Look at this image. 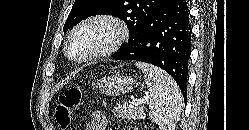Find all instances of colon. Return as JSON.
I'll use <instances>...</instances> for the list:
<instances>
[{
    "label": "colon",
    "mask_w": 249,
    "mask_h": 130,
    "mask_svg": "<svg viewBox=\"0 0 249 130\" xmlns=\"http://www.w3.org/2000/svg\"><path fill=\"white\" fill-rule=\"evenodd\" d=\"M82 98L79 86H73L64 91L58 98L54 113L55 120L62 130H67L71 124L74 111L78 108Z\"/></svg>",
    "instance_id": "1"
}]
</instances>
